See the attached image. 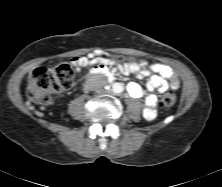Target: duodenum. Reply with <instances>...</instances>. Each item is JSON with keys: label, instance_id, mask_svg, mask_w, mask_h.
<instances>
[{"label": "duodenum", "instance_id": "obj_1", "mask_svg": "<svg viewBox=\"0 0 222 187\" xmlns=\"http://www.w3.org/2000/svg\"><path fill=\"white\" fill-rule=\"evenodd\" d=\"M104 70H101V69H99L98 70V72H103ZM107 74H108V77L110 78V79H113V74L112 73H110V72H106Z\"/></svg>", "mask_w": 222, "mask_h": 187}]
</instances>
